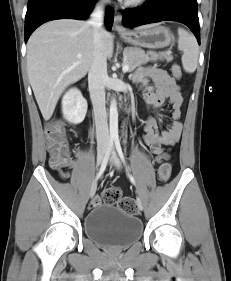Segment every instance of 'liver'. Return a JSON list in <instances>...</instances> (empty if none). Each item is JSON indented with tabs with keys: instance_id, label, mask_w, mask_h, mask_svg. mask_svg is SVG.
Instances as JSON below:
<instances>
[{
	"instance_id": "6515ba94",
	"label": "liver",
	"mask_w": 231,
	"mask_h": 281,
	"mask_svg": "<svg viewBox=\"0 0 231 281\" xmlns=\"http://www.w3.org/2000/svg\"><path fill=\"white\" fill-rule=\"evenodd\" d=\"M113 47V36L104 29L106 58L112 57ZM93 54V30L85 21H50L31 35L27 43V72L45 120L53 115L65 88L90 70Z\"/></svg>"
}]
</instances>
